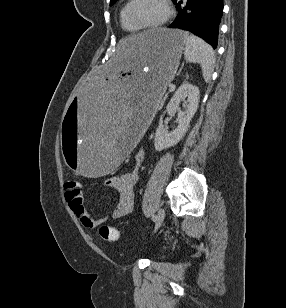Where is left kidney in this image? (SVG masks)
Listing matches in <instances>:
<instances>
[{
  "label": "left kidney",
  "instance_id": "1",
  "mask_svg": "<svg viewBox=\"0 0 286 308\" xmlns=\"http://www.w3.org/2000/svg\"><path fill=\"white\" fill-rule=\"evenodd\" d=\"M199 89L189 83H183L174 93L167 104L166 112L177 113L178 126L169 132L163 125V116L155 133L154 146L156 151H162L176 145L188 130L191 119L197 111L199 104ZM182 104L183 110L180 105Z\"/></svg>",
  "mask_w": 286,
  "mask_h": 308
}]
</instances>
